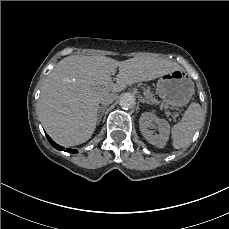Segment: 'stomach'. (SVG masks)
<instances>
[{
	"label": "stomach",
	"mask_w": 229,
	"mask_h": 229,
	"mask_svg": "<svg viewBox=\"0 0 229 229\" xmlns=\"http://www.w3.org/2000/svg\"><path fill=\"white\" fill-rule=\"evenodd\" d=\"M194 92V82L182 69H175L162 75L156 86L159 97L174 107H183L188 104Z\"/></svg>",
	"instance_id": "obj_1"
}]
</instances>
